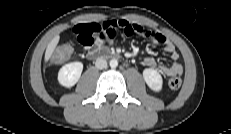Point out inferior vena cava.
Instances as JSON below:
<instances>
[{"label": "inferior vena cava", "mask_w": 231, "mask_h": 134, "mask_svg": "<svg viewBox=\"0 0 231 134\" xmlns=\"http://www.w3.org/2000/svg\"><path fill=\"white\" fill-rule=\"evenodd\" d=\"M95 66L98 69H104L107 67V61L104 58H98L95 62Z\"/></svg>", "instance_id": "inferior-vena-cava-1"}]
</instances>
